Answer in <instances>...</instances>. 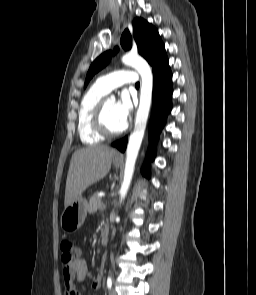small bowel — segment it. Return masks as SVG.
I'll list each match as a JSON object with an SVG mask.
<instances>
[{
  "mask_svg": "<svg viewBox=\"0 0 256 295\" xmlns=\"http://www.w3.org/2000/svg\"><path fill=\"white\" fill-rule=\"evenodd\" d=\"M88 275L87 263L84 259H77L72 265L63 270V285L65 295H78L77 284L83 282ZM102 286V274L92 282V288L100 289Z\"/></svg>",
  "mask_w": 256,
  "mask_h": 295,
  "instance_id": "small-bowel-1",
  "label": "small bowel"
}]
</instances>
